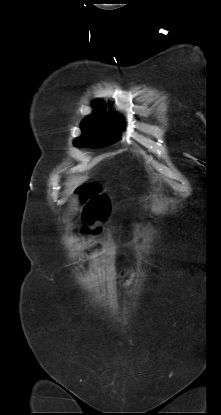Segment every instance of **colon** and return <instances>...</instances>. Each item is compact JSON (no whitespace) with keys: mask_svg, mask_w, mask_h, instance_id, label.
<instances>
[{"mask_svg":"<svg viewBox=\"0 0 221 415\" xmlns=\"http://www.w3.org/2000/svg\"><path fill=\"white\" fill-rule=\"evenodd\" d=\"M83 201L86 202L85 206V220L88 224L94 222L97 218H104L109 210L108 200L101 195L97 194V189L93 186L86 188L82 193ZM114 272L119 277L126 275V270L123 266H115ZM134 282L133 276H128L127 281L123 282L124 288H129L130 283Z\"/></svg>","mask_w":221,"mask_h":415,"instance_id":"obj_1","label":"colon"}]
</instances>
